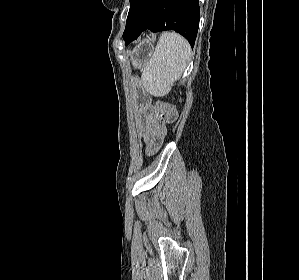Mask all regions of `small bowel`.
Wrapping results in <instances>:
<instances>
[{"label":"small bowel","instance_id":"c3829d8e","mask_svg":"<svg viewBox=\"0 0 299 280\" xmlns=\"http://www.w3.org/2000/svg\"><path fill=\"white\" fill-rule=\"evenodd\" d=\"M141 132L146 144V152L153 154L158 151L165 137V127L154 120H147L141 125Z\"/></svg>","mask_w":299,"mask_h":280}]
</instances>
